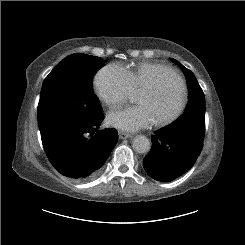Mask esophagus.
I'll list each match as a JSON object with an SVG mask.
<instances>
[{"instance_id": "esophagus-1", "label": "esophagus", "mask_w": 245, "mask_h": 245, "mask_svg": "<svg viewBox=\"0 0 245 245\" xmlns=\"http://www.w3.org/2000/svg\"><path fill=\"white\" fill-rule=\"evenodd\" d=\"M118 135L120 139L131 138L133 136L132 134L126 132H119Z\"/></svg>"}]
</instances>
